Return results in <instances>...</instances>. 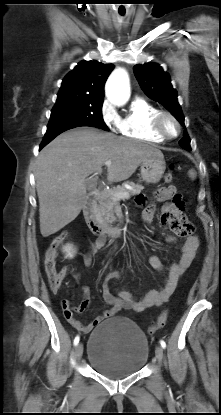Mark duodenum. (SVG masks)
I'll list each match as a JSON object with an SVG mask.
<instances>
[{
  "mask_svg": "<svg viewBox=\"0 0 221 415\" xmlns=\"http://www.w3.org/2000/svg\"><path fill=\"white\" fill-rule=\"evenodd\" d=\"M99 197V191H93L89 194L87 201L83 206V215L87 226L91 232L99 237H110L121 235L123 229L119 225H107L102 223L96 215V203Z\"/></svg>",
  "mask_w": 221,
  "mask_h": 415,
  "instance_id": "obj_1",
  "label": "duodenum"
}]
</instances>
